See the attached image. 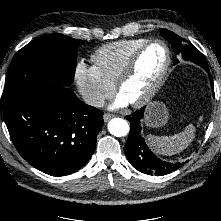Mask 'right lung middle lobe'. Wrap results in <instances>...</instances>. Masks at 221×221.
<instances>
[{
	"instance_id": "1",
	"label": "right lung middle lobe",
	"mask_w": 221,
	"mask_h": 221,
	"mask_svg": "<svg viewBox=\"0 0 221 221\" xmlns=\"http://www.w3.org/2000/svg\"><path fill=\"white\" fill-rule=\"evenodd\" d=\"M83 43L60 33L31 41L13 57L3 93L34 91L47 81L69 86L74 80L77 49Z\"/></svg>"
}]
</instances>
